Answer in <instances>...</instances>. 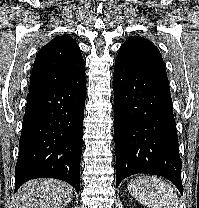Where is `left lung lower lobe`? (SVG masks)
<instances>
[{
    "mask_svg": "<svg viewBox=\"0 0 199 208\" xmlns=\"http://www.w3.org/2000/svg\"><path fill=\"white\" fill-rule=\"evenodd\" d=\"M113 80L116 185L132 174H155L183 193L168 80L121 58L115 60Z\"/></svg>",
    "mask_w": 199,
    "mask_h": 208,
    "instance_id": "0a47b994",
    "label": "left lung lower lobe"
}]
</instances>
